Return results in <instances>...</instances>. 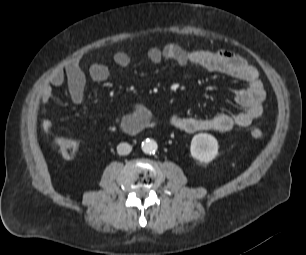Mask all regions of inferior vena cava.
Segmentation results:
<instances>
[{
  "label": "inferior vena cava",
  "instance_id": "obj_1",
  "mask_svg": "<svg viewBox=\"0 0 306 255\" xmlns=\"http://www.w3.org/2000/svg\"><path fill=\"white\" fill-rule=\"evenodd\" d=\"M132 151V146L128 143H120L117 146V153L119 155H127Z\"/></svg>",
  "mask_w": 306,
  "mask_h": 255
}]
</instances>
